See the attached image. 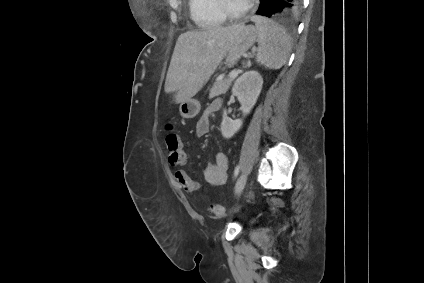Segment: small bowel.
<instances>
[{"mask_svg":"<svg viewBox=\"0 0 424 283\" xmlns=\"http://www.w3.org/2000/svg\"><path fill=\"white\" fill-rule=\"evenodd\" d=\"M221 100H213L207 108L204 110L200 118L196 123V134L198 136H203L209 131L210 126V116L213 112L217 111L221 107ZM170 149V147H169ZM171 150V149H170ZM175 151H168V162L172 166H181L186 162V154L184 152L183 146L181 147L178 155L174 154ZM177 156L178 161L172 163V158ZM228 157L225 152L219 151L216 153L215 161L206 166L204 170V177L208 184L211 186H219L224 184L228 178ZM175 178L180 184L182 189L188 194H194L200 189V184L193 180L186 171L178 169L175 172Z\"/></svg>","mask_w":424,"mask_h":283,"instance_id":"obj_1","label":"small bowel"}]
</instances>
